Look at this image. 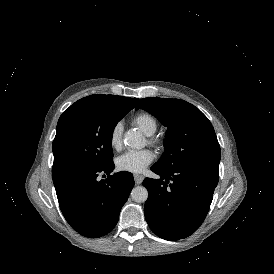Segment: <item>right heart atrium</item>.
Instances as JSON below:
<instances>
[{"label": "right heart atrium", "instance_id": "right-heart-atrium-1", "mask_svg": "<svg viewBox=\"0 0 274 274\" xmlns=\"http://www.w3.org/2000/svg\"><path fill=\"white\" fill-rule=\"evenodd\" d=\"M110 146L112 149L117 150L121 146L120 128L118 125L114 126L110 132Z\"/></svg>", "mask_w": 274, "mask_h": 274}]
</instances>
